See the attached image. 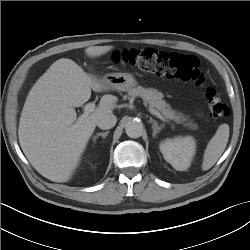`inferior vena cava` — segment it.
Returning <instances> with one entry per match:
<instances>
[{
	"label": "inferior vena cava",
	"instance_id": "obj_1",
	"mask_svg": "<svg viewBox=\"0 0 250 250\" xmlns=\"http://www.w3.org/2000/svg\"><path fill=\"white\" fill-rule=\"evenodd\" d=\"M117 122V118L114 114H106V115H102L98 118L97 120V126L100 129H110L112 127L115 126Z\"/></svg>",
	"mask_w": 250,
	"mask_h": 250
}]
</instances>
